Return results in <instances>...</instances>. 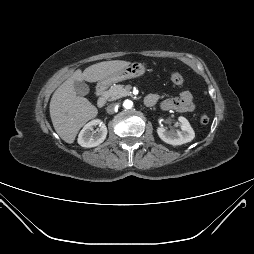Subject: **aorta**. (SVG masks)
<instances>
[{
  "instance_id": "aorta-1",
  "label": "aorta",
  "mask_w": 254,
  "mask_h": 254,
  "mask_svg": "<svg viewBox=\"0 0 254 254\" xmlns=\"http://www.w3.org/2000/svg\"><path fill=\"white\" fill-rule=\"evenodd\" d=\"M132 106H133V102L130 101V100H125L124 103H123V107H124L125 109H131Z\"/></svg>"
}]
</instances>
